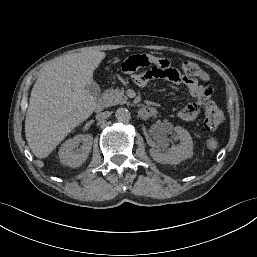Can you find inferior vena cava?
I'll return each instance as SVG.
<instances>
[{
  "mask_svg": "<svg viewBox=\"0 0 257 257\" xmlns=\"http://www.w3.org/2000/svg\"><path fill=\"white\" fill-rule=\"evenodd\" d=\"M110 115H111V112L105 111V112L98 113L96 118L99 119V120L100 119H107V118L110 117Z\"/></svg>",
  "mask_w": 257,
  "mask_h": 257,
  "instance_id": "inferior-vena-cava-1",
  "label": "inferior vena cava"
}]
</instances>
